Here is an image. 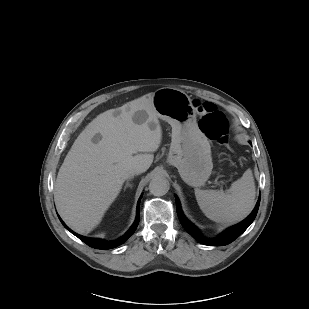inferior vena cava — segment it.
Masks as SVG:
<instances>
[{
	"label": "inferior vena cava",
	"instance_id": "obj_1",
	"mask_svg": "<svg viewBox=\"0 0 309 309\" xmlns=\"http://www.w3.org/2000/svg\"><path fill=\"white\" fill-rule=\"evenodd\" d=\"M142 172H143V168L142 167H139V166L133 167V168L129 169L127 172H125L124 178L126 179V178H129V177L133 176V175H138V174H140Z\"/></svg>",
	"mask_w": 309,
	"mask_h": 309
}]
</instances>
